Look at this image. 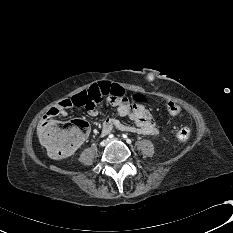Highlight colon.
<instances>
[{
	"instance_id": "obj_1",
	"label": "colon",
	"mask_w": 233,
	"mask_h": 233,
	"mask_svg": "<svg viewBox=\"0 0 233 233\" xmlns=\"http://www.w3.org/2000/svg\"><path fill=\"white\" fill-rule=\"evenodd\" d=\"M123 92L124 87L120 82L113 81L110 83L107 80H101L88 90L76 94L70 100L75 107H84L94 111L93 109L102 96L114 93L116 100H118ZM166 112L170 116H177L181 113V108L177 104L169 102L166 105ZM88 131V122L76 119L65 124L46 123L40 128L39 137L52 157L62 159L74 153L84 141ZM190 135L191 130L188 127H182L176 131V137L179 140H187Z\"/></svg>"
}]
</instances>
